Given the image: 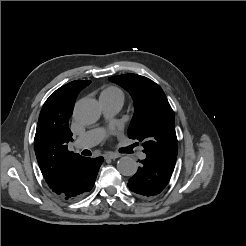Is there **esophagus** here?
<instances>
[{"mask_svg": "<svg viewBox=\"0 0 246 246\" xmlns=\"http://www.w3.org/2000/svg\"><path fill=\"white\" fill-rule=\"evenodd\" d=\"M121 155L118 153H113V152H107L106 154H104V158L105 159H117L119 158Z\"/></svg>", "mask_w": 246, "mask_h": 246, "instance_id": "34e87169", "label": "esophagus"}]
</instances>
